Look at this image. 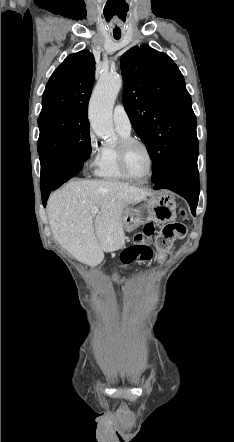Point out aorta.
I'll return each instance as SVG.
<instances>
[{
    "label": "aorta",
    "instance_id": "obj_1",
    "mask_svg": "<svg viewBox=\"0 0 234 442\" xmlns=\"http://www.w3.org/2000/svg\"><path fill=\"white\" fill-rule=\"evenodd\" d=\"M122 87L119 74L102 76L91 97L89 105V121L94 133L109 141H115L112 110L116 97Z\"/></svg>",
    "mask_w": 234,
    "mask_h": 442
}]
</instances>
